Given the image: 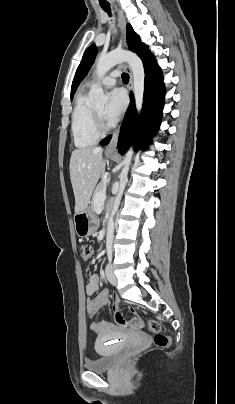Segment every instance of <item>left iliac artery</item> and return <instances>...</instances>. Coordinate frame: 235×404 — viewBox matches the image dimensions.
Listing matches in <instances>:
<instances>
[{
	"label": "left iliac artery",
	"mask_w": 235,
	"mask_h": 404,
	"mask_svg": "<svg viewBox=\"0 0 235 404\" xmlns=\"http://www.w3.org/2000/svg\"><path fill=\"white\" fill-rule=\"evenodd\" d=\"M107 255H108L109 261L111 262V260H112V248L111 247L107 248Z\"/></svg>",
	"instance_id": "left-iliac-artery-1"
}]
</instances>
